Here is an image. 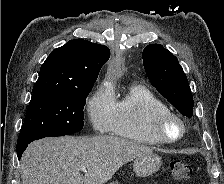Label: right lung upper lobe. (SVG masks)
I'll return each mask as SVG.
<instances>
[{
  "label": "right lung upper lobe",
  "instance_id": "obj_1",
  "mask_svg": "<svg viewBox=\"0 0 224 184\" xmlns=\"http://www.w3.org/2000/svg\"><path fill=\"white\" fill-rule=\"evenodd\" d=\"M110 50L84 39L70 40L54 49L40 69L33 91L92 88Z\"/></svg>",
  "mask_w": 224,
  "mask_h": 184
}]
</instances>
